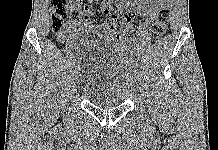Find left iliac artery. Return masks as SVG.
Wrapping results in <instances>:
<instances>
[{"instance_id":"left-iliac-artery-1","label":"left iliac artery","mask_w":218,"mask_h":150,"mask_svg":"<svg viewBox=\"0 0 218 150\" xmlns=\"http://www.w3.org/2000/svg\"><path fill=\"white\" fill-rule=\"evenodd\" d=\"M139 74H140V73H139L138 71H132V72H131V75H132V76H138Z\"/></svg>"}]
</instances>
